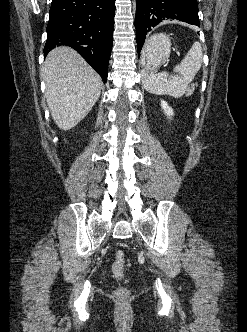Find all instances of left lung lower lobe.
Returning <instances> with one entry per match:
<instances>
[{"instance_id": "obj_1", "label": "left lung lower lobe", "mask_w": 247, "mask_h": 332, "mask_svg": "<svg viewBox=\"0 0 247 332\" xmlns=\"http://www.w3.org/2000/svg\"><path fill=\"white\" fill-rule=\"evenodd\" d=\"M180 20L200 26L197 0H137L136 39L140 53L146 35L165 20Z\"/></svg>"}]
</instances>
